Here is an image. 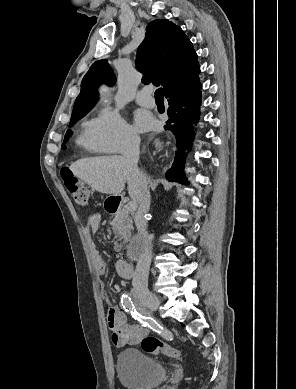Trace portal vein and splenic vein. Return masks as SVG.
<instances>
[{"label":"portal vein and splenic vein","mask_w":296,"mask_h":389,"mask_svg":"<svg viewBox=\"0 0 296 389\" xmlns=\"http://www.w3.org/2000/svg\"><path fill=\"white\" fill-rule=\"evenodd\" d=\"M136 208H137V204H136V202H134V201H130V202H128L127 205H126V209H127L128 211H134V210H136Z\"/></svg>","instance_id":"portal-vein-and-splenic-vein-1"}]
</instances>
